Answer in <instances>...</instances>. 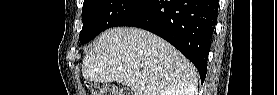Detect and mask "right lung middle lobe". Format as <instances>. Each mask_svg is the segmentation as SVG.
<instances>
[{
  "label": "right lung middle lobe",
  "mask_w": 277,
  "mask_h": 95,
  "mask_svg": "<svg viewBox=\"0 0 277 95\" xmlns=\"http://www.w3.org/2000/svg\"><path fill=\"white\" fill-rule=\"evenodd\" d=\"M143 0H84L82 8L83 28L79 35L82 44L89 42L100 32L116 26Z\"/></svg>",
  "instance_id": "right-lung-middle-lobe-1"
}]
</instances>
